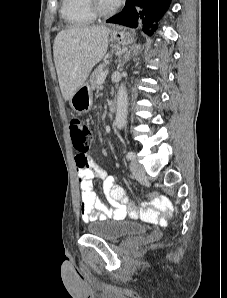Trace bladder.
I'll list each match as a JSON object with an SVG mask.
<instances>
[{
    "instance_id": "31cf9c89",
    "label": "bladder",
    "mask_w": 227,
    "mask_h": 298,
    "mask_svg": "<svg viewBox=\"0 0 227 298\" xmlns=\"http://www.w3.org/2000/svg\"><path fill=\"white\" fill-rule=\"evenodd\" d=\"M86 230L89 234L109 241H115L124 237L143 234L147 227L131 220H97L90 222Z\"/></svg>"
}]
</instances>
